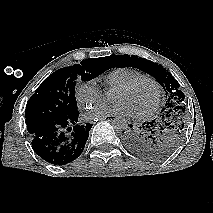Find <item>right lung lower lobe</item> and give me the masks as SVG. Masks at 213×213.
<instances>
[{
	"label": "right lung lower lobe",
	"instance_id": "98d812e1",
	"mask_svg": "<svg viewBox=\"0 0 213 213\" xmlns=\"http://www.w3.org/2000/svg\"><path fill=\"white\" fill-rule=\"evenodd\" d=\"M79 112L42 123L30 134L38 156L54 165H65L78 158L85 147L92 124H78Z\"/></svg>",
	"mask_w": 213,
	"mask_h": 213
}]
</instances>
